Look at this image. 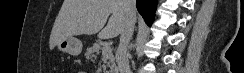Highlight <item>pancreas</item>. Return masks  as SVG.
I'll use <instances>...</instances> for the list:
<instances>
[{
    "label": "pancreas",
    "mask_w": 244,
    "mask_h": 73,
    "mask_svg": "<svg viewBox=\"0 0 244 73\" xmlns=\"http://www.w3.org/2000/svg\"><path fill=\"white\" fill-rule=\"evenodd\" d=\"M101 50V44L94 43L93 46L87 48L85 53L86 59H90L92 62H95ZM103 61L105 63V67H110L111 71H109V73H113L116 70L112 50L111 52H108L106 55L103 56Z\"/></svg>",
    "instance_id": "cf45deb5"
}]
</instances>
